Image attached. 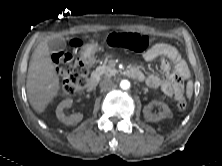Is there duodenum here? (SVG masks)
<instances>
[{"mask_svg": "<svg viewBox=\"0 0 222 166\" xmlns=\"http://www.w3.org/2000/svg\"><path fill=\"white\" fill-rule=\"evenodd\" d=\"M84 62L87 64V65H90L92 63V59L91 57L89 56H85L84 57ZM126 74L133 78V79H136V80H142L143 79V74L137 70V69H129L126 71ZM98 75L97 74H94L92 75L86 82V88L87 90H94L98 84Z\"/></svg>", "mask_w": 222, "mask_h": 166, "instance_id": "1", "label": "duodenum"}]
</instances>
